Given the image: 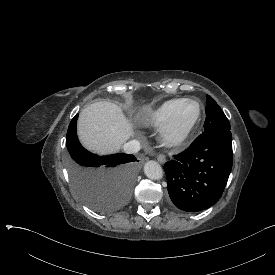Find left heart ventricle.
<instances>
[{
  "label": "left heart ventricle",
  "instance_id": "obj_1",
  "mask_svg": "<svg viewBox=\"0 0 275 275\" xmlns=\"http://www.w3.org/2000/svg\"><path fill=\"white\" fill-rule=\"evenodd\" d=\"M196 108L193 104H184L178 108L176 113V120L180 126L188 125L194 118Z\"/></svg>",
  "mask_w": 275,
  "mask_h": 275
}]
</instances>
